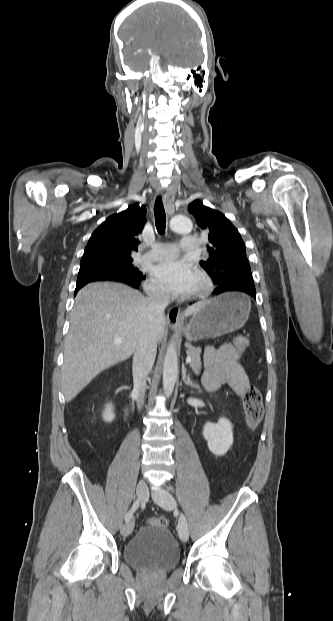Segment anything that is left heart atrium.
I'll use <instances>...</instances> for the list:
<instances>
[{"label":"left heart atrium","instance_id":"1","mask_svg":"<svg viewBox=\"0 0 333 621\" xmlns=\"http://www.w3.org/2000/svg\"><path fill=\"white\" fill-rule=\"evenodd\" d=\"M153 278L166 290L175 294H189L198 273L187 262L170 259L156 264L152 268Z\"/></svg>","mask_w":333,"mask_h":621}]
</instances>
